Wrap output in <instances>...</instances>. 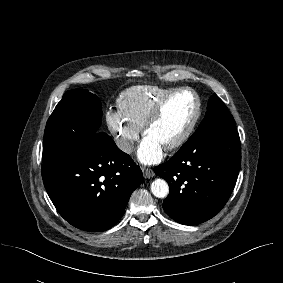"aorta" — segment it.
Listing matches in <instances>:
<instances>
[{"mask_svg": "<svg viewBox=\"0 0 283 283\" xmlns=\"http://www.w3.org/2000/svg\"><path fill=\"white\" fill-rule=\"evenodd\" d=\"M151 191L157 198H165L169 193V186L163 179H155L151 184Z\"/></svg>", "mask_w": 283, "mask_h": 283, "instance_id": "obj_1", "label": "aorta"}]
</instances>
